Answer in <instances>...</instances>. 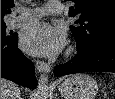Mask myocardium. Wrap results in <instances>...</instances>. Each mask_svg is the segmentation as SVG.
Listing matches in <instances>:
<instances>
[{
	"instance_id": "f54148a6",
	"label": "myocardium",
	"mask_w": 115,
	"mask_h": 99,
	"mask_svg": "<svg viewBox=\"0 0 115 99\" xmlns=\"http://www.w3.org/2000/svg\"><path fill=\"white\" fill-rule=\"evenodd\" d=\"M72 52H73V48H70L69 51H68V54H70Z\"/></svg>"
}]
</instances>
